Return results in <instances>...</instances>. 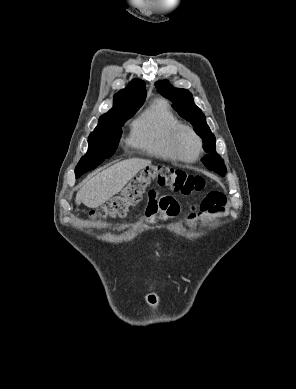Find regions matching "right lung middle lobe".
Returning a JSON list of instances; mask_svg holds the SVG:
<instances>
[{
    "label": "right lung middle lobe",
    "instance_id": "right-lung-middle-lobe-1",
    "mask_svg": "<svg viewBox=\"0 0 296 389\" xmlns=\"http://www.w3.org/2000/svg\"><path fill=\"white\" fill-rule=\"evenodd\" d=\"M140 107L128 109L120 113L100 118L98 126L89 135L88 151L76 167L96 164L97 166L105 159L111 157L119 143L122 131L121 126L131 118Z\"/></svg>",
    "mask_w": 296,
    "mask_h": 389
}]
</instances>
